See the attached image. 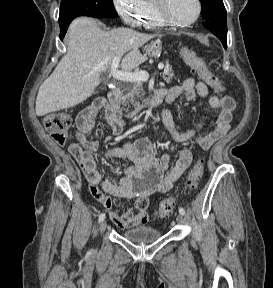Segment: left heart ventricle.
Listing matches in <instances>:
<instances>
[{
	"label": "left heart ventricle",
	"mask_w": 273,
	"mask_h": 288,
	"mask_svg": "<svg viewBox=\"0 0 273 288\" xmlns=\"http://www.w3.org/2000/svg\"><path fill=\"white\" fill-rule=\"evenodd\" d=\"M166 8L169 16L177 22L191 20L197 12L195 0H167Z\"/></svg>",
	"instance_id": "obj_1"
}]
</instances>
